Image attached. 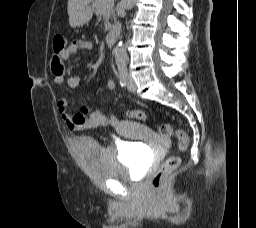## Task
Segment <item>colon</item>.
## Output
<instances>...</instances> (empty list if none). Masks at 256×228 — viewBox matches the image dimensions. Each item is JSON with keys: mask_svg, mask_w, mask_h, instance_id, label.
<instances>
[{"mask_svg": "<svg viewBox=\"0 0 256 228\" xmlns=\"http://www.w3.org/2000/svg\"><path fill=\"white\" fill-rule=\"evenodd\" d=\"M66 48V40L62 35H55L53 38L54 53H60ZM131 118L135 121H142L145 119V113L141 110H134L131 113ZM159 133L163 137H170L175 135L178 140V149L184 152L189 147V137L187 133L181 128H175L172 124H162L159 128ZM181 162L179 156L169 157L159 168L153 178V187L160 189L164 185L166 177L169 173L175 170Z\"/></svg>", "mask_w": 256, "mask_h": 228, "instance_id": "5ec220e1", "label": "colon"}]
</instances>
